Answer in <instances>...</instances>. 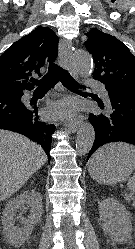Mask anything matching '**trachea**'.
I'll use <instances>...</instances> for the list:
<instances>
[{
  "mask_svg": "<svg viewBox=\"0 0 135 249\" xmlns=\"http://www.w3.org/2000/svg\"><path fill=\"white\" fill-rule=\"evenodd\" d=\"M59 80L69 90L80 91L81 89H84V87L77 83L65 69L52 61H50V66L46 75H44L41 80H34L32 82L33 84H36L39 89H49Z\"/></svg>",
  "mask_w": 135,
  "mask_h": 249,
  "instance_id": "obj_1",
  "label": "trachea"
}]
</instances>
